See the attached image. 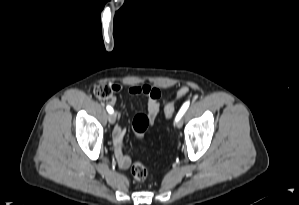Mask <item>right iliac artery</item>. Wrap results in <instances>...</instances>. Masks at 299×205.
<instances>
[{"label": "right iliac artery", "instance_id": "82829eb1", "mask_svg": "<svg viewBox=\"0 0 299 205\" xmlns=\"http://www.w3.org/2000/svg\"><path fill=\"white\" fill-rule=\"evenodd\" d=\"M106 109L109 113H113V108L111 106H107Z\"/></svg>", "mask_w": 299, "mask_h": 205}]
</instances>
